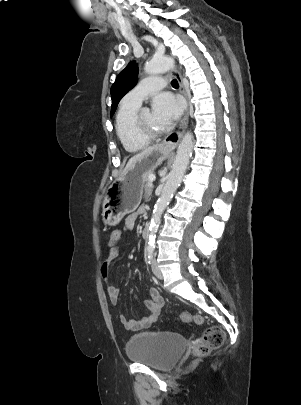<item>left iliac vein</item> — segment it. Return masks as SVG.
<instances>
[{
    "label": "left iliac vein",
    "mask_w": 301,
    "mask_h": 405,
    "mask_svg": "<svg viewBox=\"0 0 301 405\" xmlns=\"http://www.w3.org/2000/svg\"><path fill=\"white\" fill-rule=\"evenodd\" d=\"M151 267H152V271H153L154 275L160 280L163 279V274L155 259H152Z\"/></svg>",
    "instance_id": "4c4485c4"
}]
</instances>
